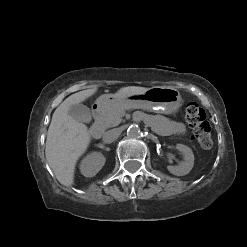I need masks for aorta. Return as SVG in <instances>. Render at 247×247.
Wrapping results in <instances>:
<instances>
[{
  "mask_svg": "<svg viewBox=\"0 0 247 247\" xmlns=\"http://www.w3.org/2000/svg\"><path fill=\"white\" fill-rule=\"evenodd\" d=\"M141 134V130L140 127L136 124H133L131 126H129L128 130H127V135L130 138H137L139 137Z\"/></svg>",
  "mask_w": 247,
  "mask_h": 247,
  "instance_id": "obj_1",
  "label": "aorta"
}]
</instances>
